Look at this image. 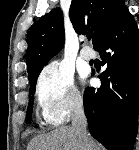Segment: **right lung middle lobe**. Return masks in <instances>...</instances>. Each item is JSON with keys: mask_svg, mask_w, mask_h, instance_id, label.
Segmentation results:
<instances>
[{"mask_svg": "<svg viewBox=\"0 0 139 150\" xmlns=\"http://www.w3.org/2000/svg\"><path fill=\"white\" fill-rule=\"evenodd\" d=\"M39 73L32 80H30V94H34L35 92V85H36V81H37V77ZM32 110H33V97L29 99V104H28V109H27L26 119L28 123H30L31 121Z\"/></svg>", "mask_w": 139, "mask_h": 150, "instance_id": "1", "label": "right lung middle lobe"}]
</instances>
